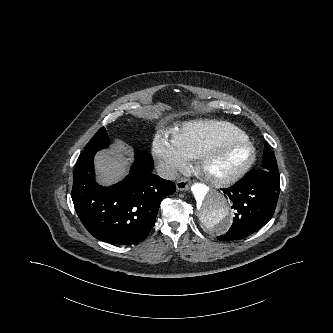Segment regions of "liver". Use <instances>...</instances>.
Returning a JSON list of instances; mask_svg holds the SVG:
<instances>
[{
    "label": "liver",
    "instance_id": "obj_1",
    "mask_svg": "<svg viewBox=\"0 0 333 333\" xmlns=\"http://www.w3.org/2000/svg\"><path fill=\"white\" fill-rule=\"evenodd\" d=\"M132 153L116 141L111 150H104L95 156V169L98 180L103 185H111L120 181L127 173Z\"/></svg>",
    "mask_w": 333,
    "mask_h": 333
}]
</instances>
